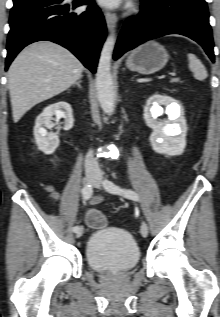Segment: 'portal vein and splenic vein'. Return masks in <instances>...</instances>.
I'll return each mask as SVG.
<instances>
[{
	"instance_id": "obj_1",
	"label": "portal vein and splenic vein",
	"mask_w": 220,
	"mask_h": 317,
	"mask_svg": "<svg viewBox=\"0 0 220 317\" xmlns=\"http://www.w3.org/2000/svg\"><path fill=\"white\" fill-rule=\"evenodd\" d=\"M170 75H171L172 77H175V76H176V74H175V73H170Z\"/></svg>"
}]
</instances>
